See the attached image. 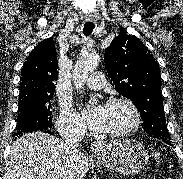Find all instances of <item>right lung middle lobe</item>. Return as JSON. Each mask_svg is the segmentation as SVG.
Wrapping results in <instances>:
<instances>
[{
    "label": "right lung middle lobe",
    "mask_w": 183,
    "mask_h": 179,
    "mask_svg": "<svg viewBox=\"0 0 183 179\" xmlns=\"http://www.w3.org/2000/svg\"><path fill=\"white\" fill-rule=\"evenodd\" d=\"M51 99L52 96L19 100L16 137L27 132L48 130L53 126Z\"/></svg>",
    "instance_id": "obj_1"
}]
</instances>
